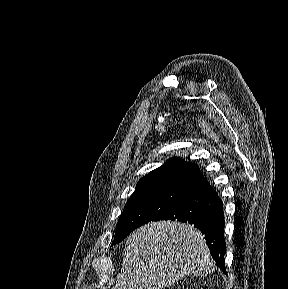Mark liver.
I'll list each match as a JSON object with an SVG mask.
<instances>
[{"label":"liver","mask_w":288,"mask_h":289,"mask_svg":"<svg viewBox=\"0 0 288 289\" xmlns=\"http://www.w3.org/2000/svg\"><path fill=\"white\" fill-rule=\"evenodd\" d=\"M213 270L199 230L177 221L151 222L128 237L114 289H165L185 276Z\"/></svg>","instance_id":"1"}]
</instances>
